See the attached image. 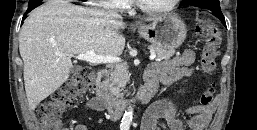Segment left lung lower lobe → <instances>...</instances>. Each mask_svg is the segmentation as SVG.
I'll use <instances>...</instances> for the list:
<instances>
[{
    "mask_svg": "<svg viewBox=\"0 0 257 130\" xmlns=\"http://www.w3.org/2000/svg\"><path fill=\"white\" fill-rule=\"evenodd\" d=\"M202 5L204 6V8L210 10L213 15H215L216 17L221 19L222 22L225 24V19H224V16H223L222 12H221L220 4L204 3Z\"/></svg>",
    "mask_w": 257,
    "mask_h": 130,
    "instance_id": "0a47b994",
    "label": "left lung lower lobe"
}]
</instances>
